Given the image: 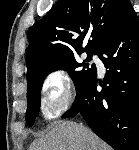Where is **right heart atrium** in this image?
<instances>
[{"label": "right heart atrium", "mask_w": 139, "mask_h": 150, "mask_svg": "<svg viewBox=\"0 0 139 150\" xmlns=\"http://www.w3.org/2000/svg\"><path fill=\"white\" fill-rule=\"evenodd\" d=\"M41 92V111L47 119L60 116L74 100L70 77L63 70L48 73L43 80Z\"/></svg>", "instance_id": "d8ad5b80"}]
</instances>
